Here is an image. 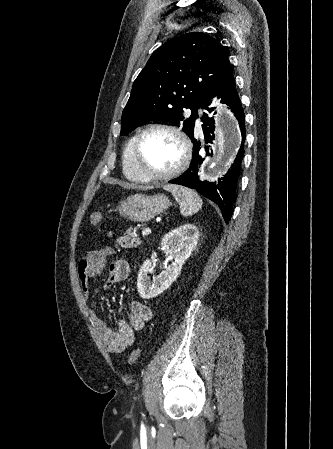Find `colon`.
I'll list each match as a JSON object with an SVG mask.
<instances>
[{
  "instance_id": "colon-1",
  "label": "colon",
  "mask_w": 333,
  "mask_h": 449,
  "mask_svg": "<svg viewBox=\"0 0 333 449\" xmlns=\"http://www.w3.org/2000/svg\"><path fill=\"white\" fill-rule=\"evenodd\" d=\"M102 219V214L100 212H94L90 215L89 221L92 225H97ZM141 351L139 348H136L132 350L128 357V362L130 364H135L139 357H140Z\"/></svg>"
}]
</instances>
